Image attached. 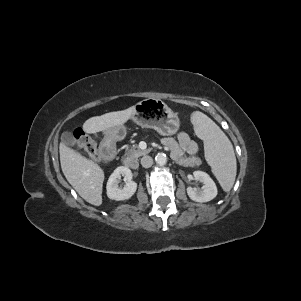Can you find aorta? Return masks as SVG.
Wrapping results in <instances>:
<instances>
[{"label":"aorta","mask_w":301,"mask_h":301,"mask_svg":"<svg viewBox=\"0 0 301 301\" xmlns=\"http://www.w3.org/2000/svg\"><path fill=\"white\" fill-rule=\"evenodd\" d=\"M155 161L159 165H165L167 163V156L164 153H158L155 156Z\"/></svg>","instance_id":"obj_1"}]
</instances>
